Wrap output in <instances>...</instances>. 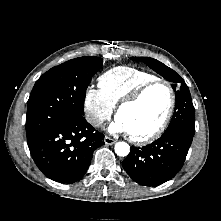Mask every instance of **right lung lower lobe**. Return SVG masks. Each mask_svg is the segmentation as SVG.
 Masks as SVG:
<instances>
[{
  "instance_id": "1",
  "label": "right lung lower lobe",
  "mask_w": 221,
  "mask_h": 221,
  "mask_svg": "<svg viewBox=\"0 0 221 221\" xmlns=\"http://www.w3.org/2000/svg\"><path fill=\"white\" fill-rule=\"evenodd\" d=\"M27 143L44 175L74 183L88 170L94 150L104 144V135L80 117L60 122Z\"/></svg>"
}]
</instances>
